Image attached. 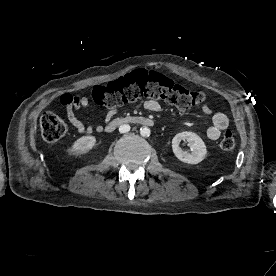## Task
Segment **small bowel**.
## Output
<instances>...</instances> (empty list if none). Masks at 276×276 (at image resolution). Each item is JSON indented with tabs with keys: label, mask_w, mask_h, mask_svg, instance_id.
<instances>
[{
	"label": "small bowel",
	"mask_w": 276,
	"mask_h": 276,
	"mask_svg": "<svg viewBox=\"0 0 276 276\" xmlns=\"http://www.w3.org/2000/svg\"><path fill=\"white\" fill-rule=\"evenodd\" d=\"M60 103L66 109L68 121L77 130L78 133L91 134L95 131H102L101 125L94 126L91 124H86L78 117V113L89 106L87 97L79 94H64L60 98ZM142 105L145 109L153 112L160 109V104L157 101L151 99L143 101ZM116 112L117 109L110 110L107 116L111 117ZM203 112L207 115H211V125L207 129V136L210 140H217L220 137L222 131L228 128L229 119L222 112H213L207 105L203 106Z\"/></svg>",
	"instance_id": "c3829d8e"
}]
</instances>
